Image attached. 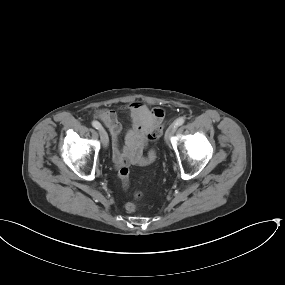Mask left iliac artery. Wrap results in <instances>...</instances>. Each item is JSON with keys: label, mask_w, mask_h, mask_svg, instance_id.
I'll return each mask as SVG.
<instances>
[{"label": "left iliac artery", "mask_w": 285, "mask_h": 285, "mask_svg": "<svg viewBox=\"0 0 285 285\" xmlns=\"http://www.w3.org/2000/svg\"><path fill=\"white\" fill-rule=\"evenodd\" d=\"M185 118L184 117H179L178 119L175 120L174 124L178 127L184 124Z\"/></svg>", "instance_id": "obj_1"}]
</instances>
